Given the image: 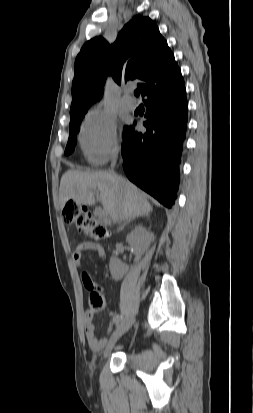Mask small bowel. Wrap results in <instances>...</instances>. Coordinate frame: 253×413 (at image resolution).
<instances>
[{
    "label": "small bowel",
    "mask_w": 253,
    "mask_h": 413,
    "mask_svg": "<svg viewBox=\"0 0 253 413\" xmlns=\"http://www.w3.org/2000/svg\"><path fill=\"white\" fill-rule=\"evenodd\" d=\"M85 251H92L96 257L103 261L106 258V252L104 248L93 242H82L77 245L75 248L72 258L74 263L80 267L82 265V255ZM82 281L85 287H88L90 284H93V280L90 274L86 271L82 273ZM116 316L111 314V320L115 323ZM84 331L85 337L91 351L97 353L100 352L110 341L108 338L98 339L95 336V325L93 322V312L90 309H87L84 316Z\"/></svg>",
    "instance_id": "c3829d8e"
}]
</instances>
